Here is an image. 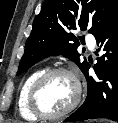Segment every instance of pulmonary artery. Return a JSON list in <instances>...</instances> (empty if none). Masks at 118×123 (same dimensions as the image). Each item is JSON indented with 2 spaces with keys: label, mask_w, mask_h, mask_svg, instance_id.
Masks as SVG:
<instances>
[{
  "label": "pulmonary artery",
  "mask_w": 118,
  "mask_h": 123,
  "mask_svg": "<svg viewBox=\"0 0 118 123\" xmlns=\"http://www.w3.org/2000/svg\"><path fill=\"white\" fill-rule=\"evenodd\" d=\"M87 45L90 49H94L96 46V40L92 36H87L86 38Z\"/></svg>",
  "instance_id": "pulmonary-artery-1"
}]
</instances>
